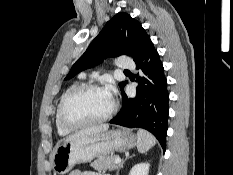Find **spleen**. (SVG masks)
<instances>
[{
	"label": "spleen",
	"mask_w": 233,
	"mask_h": 175,
	"mask_svg": "<svg viewBox=\"0 0 233 175\" xmlns=\"http://www.w3.org/2000/svg\"><path fill=\"white\" fill-rule=\"evenodd\" d=\"M156 144L155 137L144 129L137 131V149L140 153L147 152Z\"/></svg>",
	"instance_id": "1"
}]
</instances>
